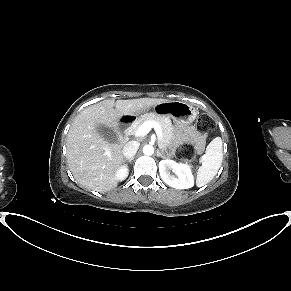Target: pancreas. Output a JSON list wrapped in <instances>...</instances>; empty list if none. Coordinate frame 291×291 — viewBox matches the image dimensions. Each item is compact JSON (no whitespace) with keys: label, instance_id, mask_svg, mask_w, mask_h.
I'll return each mask as SVG.
<instances>
[{"label":"pancreas","instance_id":"cf45deb5","mask_svg":"<svg viewBox=\"0 0 291 291\" xmlns=\"http://www.w3.org/2000/svg\"><path fill=\"white\" fill-rule=\"evenodd\" d=\"M145 121H155L161 127V137L159 138V145L162 149H164L173 138V127L171 120L166 116H160L155 113H148L141 115L129 128L130 132L135 134L139 127Z\"/></svg>","mask_w":291,"mask_h":291}]
</instances>
